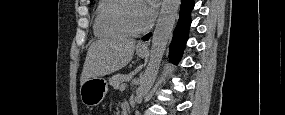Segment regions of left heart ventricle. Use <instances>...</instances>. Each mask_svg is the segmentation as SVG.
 Returning <instances> with one entry per match:
<instances>
[{"mask_svg": "<svg viewBox=\"0 0 285 115\" xmlns=\"http://www.w3.org/2000/svg\"><path fill=\"white\" fill-rule=\"evenodd\" d=\"M124 19L132 29L137 30L145 27L139 2L128 4L124 11Z\"/></svg>", "mask_w": 285, "mask_h": 115, "instance_id": "left-heart-ventricle-1", "label": "left heart ventricle"}]
</instances>
